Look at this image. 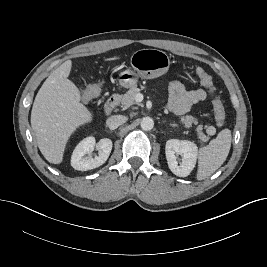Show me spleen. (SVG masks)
Here are the masks:
<instances>
[{"label": "spleen", "instance_id": "3e777b00", "mask_svg": "<svg viewBox=\"0 0 267 267\" xmlns=\"http://www.w3.org/2000/svg\"><path fill=\"white\" fill-rule=\"evenodd\" d=\"M231 140V131L223 129L207 146L200 148L197 180L208 178L225 162L230 151Z\"/></svg>", "mask_w": 267, "mask_h": 267}]
</instances>
